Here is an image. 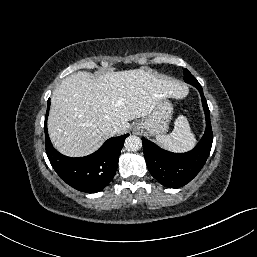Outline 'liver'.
<instances>
[{
    "label": "liver",
    "instance_id": "obj_1",
    "mask_svg": "<svg viewBox=\"0 0 257 257\" xmlns=\"http://www.w3.org/2000/svg\"><path fill=\"white\" fill-rule=\"evenodd\" d=\"M186 86L151 70L108 72L97 77L79 71L62 80L51 97L48 132L56 149L70 157L96 151L112 135L125 133L128 121L145 117L160 99L185 95Z\"/></svg>",
    "mask_w": 257,
    "mask_h": 257
}]
</instances>
